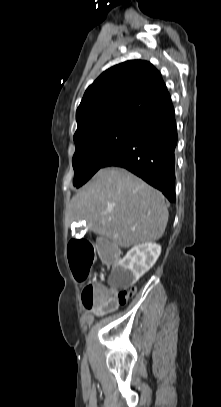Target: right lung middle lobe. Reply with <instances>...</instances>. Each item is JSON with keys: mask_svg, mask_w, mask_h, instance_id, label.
<instances>
[{"mask_svg": "<svg viewBox=\"0 0 221 407\" xmlns=\"http://www.w3.org/2000/svg\"><path fill=\"white\" fill-rule=\"evenodd\" d=\"M138 124L122 123L92 131L75 141L73 156L77 188L86 183L133 133Z\"/></svg>", "mask_w": 221, "mask_h": 407, "instance_id": "right-lung-middle-lobe-1", "label": "right lung middle lobe"}]
</instances>
